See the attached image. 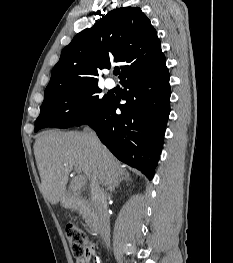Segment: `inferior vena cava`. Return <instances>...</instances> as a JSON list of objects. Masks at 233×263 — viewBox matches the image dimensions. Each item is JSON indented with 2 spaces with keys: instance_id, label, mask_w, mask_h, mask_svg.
I'll return each mask as SVG.
<instances>
[{
  "instance_id": "obj_1",
  "label": "inferior vena cava",
  "mask_w": 233,
  "mask_h": 263,
  "mask_svg": "<svg viewBox=\"0 0 233 263\" xmlns=\"http://www.w3.org/2000/svg\"><path fill=\"white\" fill-rule=\"evenodd\" d=\"M93 138L98 145L99 140L95 134H93ZM91 195L101 228V237L107 247H110V220L107 211V197L100 186L96 183H92Z\"/></svg>"
}]
</instances>
